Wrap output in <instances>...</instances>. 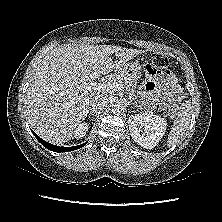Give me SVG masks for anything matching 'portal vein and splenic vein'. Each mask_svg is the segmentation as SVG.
Returning <instances> with one entry per match:
<instances>
[{"instance_id":"obj_1","label":"portal vein and splenic vein","mask_w":222,"mask_h":222,"mask_svg":"<svg viewBox=\"0 0 222 222\" xmlns=\"http://www.w3.org/2000/svg\"><path fill=\"white\" fill-rule=\"evenodd\" d=\"M83 86L87 89H92L94 91H101L110 94L122 88L119 84L110 83V82H99V83L90 82V83H84Z\"/></svg>"}]
</instances>
